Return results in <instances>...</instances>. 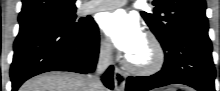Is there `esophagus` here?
<instances>
[{
	"label": "esophagus",
	"instance_id": "obj_1",
	"mask_svg": "<svg viewBox=\"0 0 220 91\" xmlns=\"http://www.w3.org/2000/svg\"><path fill=\"white\" fill-rule=\"evenodd\" d=\"M126 84V74L119 67L114 70V85L116 91H124Z\"/></svg>",
	"mask_w": 220,
	"mask_h": 91
}]
</instances>
